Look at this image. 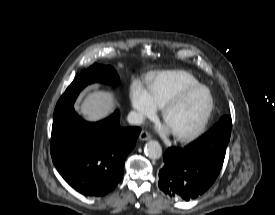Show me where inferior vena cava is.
Here are the masks:
<instances>
[{
    "label": "inferior vena cava",
    "mask_w": 275,
    "mask_h": 215,
    "mask_svg": "<svg viewBox=\"0 0 275 215\" xmlns=\"http://www.w3.org/2000/svg\"><path fill=\"white\" fill-rule=\"evenodd\" d=\"M127 120L130 124L140 125L143 123L144 118L142 114L131 111L127 116Z\"/></svg>",
    "instance_id": "602c4592"
}]
</instances>
